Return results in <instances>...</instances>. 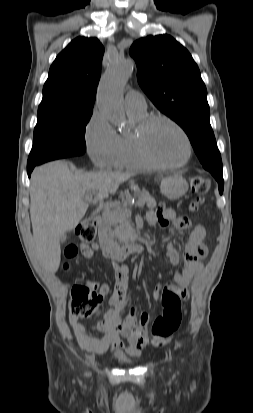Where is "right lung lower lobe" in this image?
I'll use <instances>...</instances> for the list:
<instances>
[{
    "instance_id": "98d812e1",
    "label": "right lung lower lobe",
    "mask_w": 253,
    "mask_h": 413,
    "mask_svg": "<svg viewBox=\"0 0 253 413\" xmlns=\"http://www.w3.org/2000/svg\"><path fill=\"white\" fill-rule=\"evenodd\" d=\"M35 166H36V165L27 166V173H28V176H29V177H30L31 172H32V170L34 169Z\"/></svg>"
}]
</instances>
